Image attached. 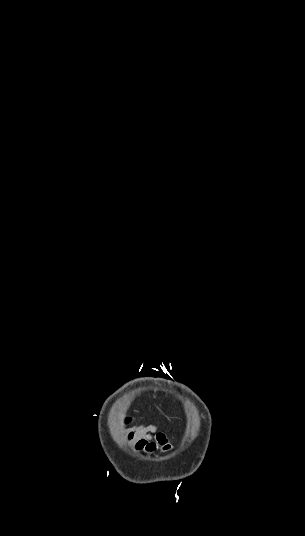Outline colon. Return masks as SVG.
<instances>
[{
	"mask_svg": "<svg viewBox=\"0 0 305 536\" xmlns=\"http://www.w3.org/2000/svg\"><path fill=\"white\" fill-rule=\"evenodd\" d=\"M122 423H124V425H126V426H130V425H132L133 420L130 417H126V418H124V420H122Z\"/></svg>",
	"mask_w": 305,
	"mask_h": 536,
	"instance_id": "1",
	"label": "colon"
}]
</instances>
